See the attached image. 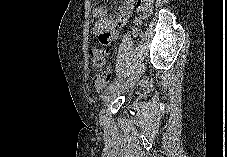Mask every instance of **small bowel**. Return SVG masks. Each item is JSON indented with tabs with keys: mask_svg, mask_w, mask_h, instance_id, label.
<instances>
[{
	"mask_svg": "<svg viewBox=\"0 0 227 157\" xmlns=\"http://www.w3.org/2000/svg\"><path fill=\"white\" fill-rule=\"evenodd\" d=\"M134 3L135 0H120L116 18H111L104 6H99L93 10V17L95 18L93 33L99 37L103 44H111L117 39V28L126 24L134 8Z\"/></svg>",
	"mask_w": 227,
	"mask_h": 157,
	"instance_id": "small-bowel-1",
	"label": "small bowel"
}]
</instances>
